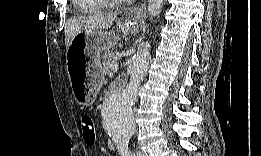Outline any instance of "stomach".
<instances>
[{"label": "stomach", "instance_id": "obj_1", "mask_svg": "<svg viewBox=\"0 0 261 156\" xmlns=\"http://www.w3.org/2000/svg\"><path fill=\"white\" fill-rule=\"evenodd\" d=\"M143 13L140 9H130L125 21L118 26L123 33L138 31ZM116 32L105 35L100 31L79 32L67 48V69L72 91L76 101L82 106L91 105L97 96L102 83V51L110 47ZM85 56L88 58L84 67L77 68V60Z\"/></svg>", "mask_w": 261, "mask_h": 156}]
</instances>
